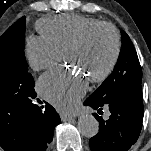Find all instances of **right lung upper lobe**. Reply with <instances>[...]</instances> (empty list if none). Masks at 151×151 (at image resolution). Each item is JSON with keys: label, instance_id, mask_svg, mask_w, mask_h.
<instances>
[{"label": "right lung upper lobe", "instance_id": "right-lung-upper-lobe-1", "mask_svg": "<svg viewBox=\"0 0 151 151\" xmlns=\"http://www.w3.org/2000/svg\"><path fill=\"white\" fill-rule=\"evenodd\" d=\"M31 105L0 99V146L5 151H25L29 141Z\"/></svg>", "mask_w": 151, "mask_h": 151}]
</instances>
